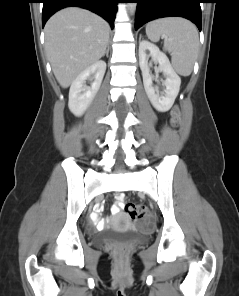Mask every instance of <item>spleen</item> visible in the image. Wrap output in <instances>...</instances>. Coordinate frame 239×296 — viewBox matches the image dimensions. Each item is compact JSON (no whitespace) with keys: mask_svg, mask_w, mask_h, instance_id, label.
Masks as SVG:
<instances>
[{"mask_svg":"<svg viewBox=\"0 0 239 296\" xmlns=\"http://www.w3.org/2000/svg\"><path fill=\"white\" fill-rule=\"evenodd\" d=\"M146 34L153 41L164 36L175 71L182 76L191 74L199 50L198 32L191 22L181 18L158 19L147 24Z\"/></svg>","mask_w":239,"mask_h":296,"instance_id":"3e777b00","label":"spleen"}]
</instances>
